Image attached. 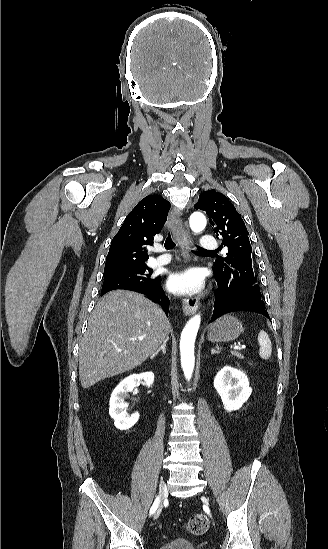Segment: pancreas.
I'll return each mask as SVG.
<instances>
[{
    "mask_svg": "<svg viewBox=\"0 0 328 549\" xmlns=\"http://www.w3.org/2000/svg\"><path fill=\"white\" fill-rule=\"evenodd\" d=\"M231 355H234V357H238V359H244L243 355H241V353H237V351H233Z\"/></svg>",
    "mask_w": 328,
    "mask_h": 549,
    "instance_id": "obj_1",
    "label": "pancreas"
}]
</instances>
